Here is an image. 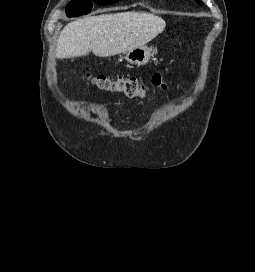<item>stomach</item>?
<instances>
[{"label":"stomach","mask_w":255,"mask_h":272,"mask_svg":"<svg viewBox=\"0 0 255 272\" xmlns=\"http://www.w3.org/2000/svg\"><path fill=\"white\" fill-rule=\"evenodd\" d=\"M153 56V50L147 46L134 48L126 53L125 59L128 63L135 66H142L149 62Z\"/></svg>","instance_id":"obj_1"}]
</instances>
